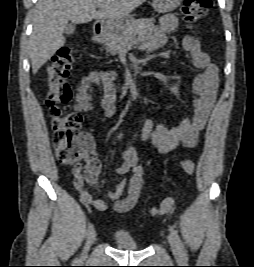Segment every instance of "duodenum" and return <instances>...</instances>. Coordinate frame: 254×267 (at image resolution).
<instances>
[{
    "label": "duodenum",
    "mask_w": 254,
    "mask_h": 267,
    "mask_svg": "<svg viewBox=\"0 0 254 267\" xmlns=\"http://www.w3.org/2000/svg\"><path fill=\"white\" fill-rule=\"evenodd\" d=\"M105 33V23L103 21L97 22L92 31L91 40L94 43H99L103 40Z\"/></svg>",
    "instance_id": "obj_1"
}]
</instances>
